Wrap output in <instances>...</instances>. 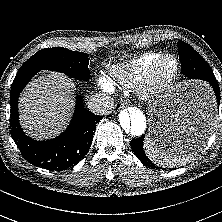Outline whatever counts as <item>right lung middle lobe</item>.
I'll list each match as a JSON object with an SVG mask.
<instances>
[{
  "label": "right lung middle lobe",
  "instance_id": "right-lung-middle-lobe-1",
  "mask_svg": "<svg viewBox=\"0 0 222 222\" xmlns=\"http://www.w3.org/2000/svg\"><path fill=\"white\" fill-rule=\"evenodd\" d=\"M88 63V55L85 53L63 47L44 48L30 57L19 71L53 70L86 81L90 75Z\"/></svg>",
  "mask_w": 222,
  "mask_h": 222
}]
</instances>
